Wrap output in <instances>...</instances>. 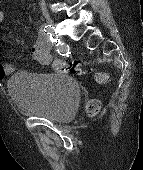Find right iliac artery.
<instances>
[{"mask_svg": "<svg viewBox=\"0 0 143 170\" xmlns=\"http://www.w3.org/2000/svg\"><path fill=\"white\" fill-rule=\"evenodd\" d=\"M41 31L47 35L52 36L53 28L50 25H45Z\"/></svg>", "mask_w": 143, "mask_h": 170, "instance_id": "82829eb1", "label": "right iliac artery"}]
</instances>
